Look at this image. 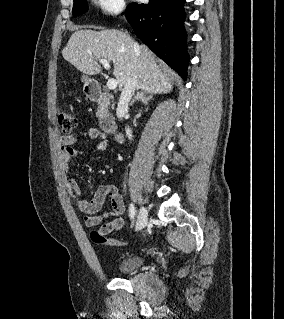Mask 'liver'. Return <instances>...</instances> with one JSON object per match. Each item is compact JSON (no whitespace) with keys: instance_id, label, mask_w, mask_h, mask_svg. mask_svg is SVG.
Wrapping results in <instances>:
<instances>
[{"instance_id":"liver-1","label":"liver","mask_w":284,"mask_h":319,"mask_svg":"<svg viewBox=\"0 0 284 319\" xmlns=\"http://www.w3.org/2000/svg\"><path fill=\"white\" fill-rule=\"evenodd\" d=\"M129 35L119 30L95 31L81 29L75 31L66 47L63 58L86 75H96L102 70L98 60L113 62V75L122 89L133 71L137 75V89L152 94L167 93L172 90L174 74L170 69L157 65L152 51L144 44H137Z\"/></svg>"}]
</instances>
